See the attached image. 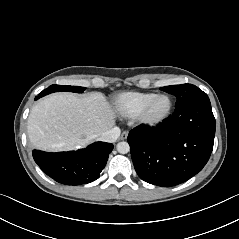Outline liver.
I'll return each mask as SVG.
<instances>
[{
    "label": "liver",
    "mask_w": 239,
    "mask_h": 239,
    "mask_svg": "<svg viewBox=\"0 0 239 239\" xmlns=\"http://www.w3.org/2000/svg\"><path fill=\"white\" fill-rule=\"evenodd\" d=\"M116 112L100 92L55 93L33 106L28 117L32 145L47 151L84 147L115 124Z\"/></svg>",
    "instance_id": "obj_1"
}]
</instances>
